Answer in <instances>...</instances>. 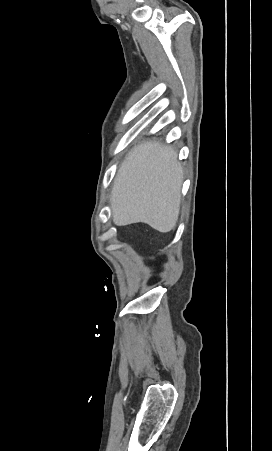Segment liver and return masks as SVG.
Here are the masks:
<instances>
[{
	"label": "liver",
	"instance_id": "obj_1",
	"mask_svg": "<svg viewBox=\"0 0 272 451\" xmlns=\"http://www.w3.org/2000/svg\"><path fill=\"white\" fill-rule=\"evenodd\" d=\"M183 168L177 152L159 142L134 148L114 180L110 204L116 226L144 222L158 231H171L177 224Z\"/></svg>",
	"mask_w": 272,
	"mask_h": 451
}]
</instances>
